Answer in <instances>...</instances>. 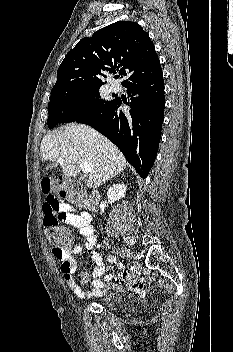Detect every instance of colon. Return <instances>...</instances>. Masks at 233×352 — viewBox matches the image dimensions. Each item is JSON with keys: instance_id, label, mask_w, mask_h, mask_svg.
Returning <instances> with one entry per match:
<instances>
[{"instance_id": "obj_1", "label": "colon", "mask_w": 233, "mask_h": 352, "mask_svg": "<svg viewBox=\"0 0 233 352\" xmlns=\"http://www.w3.org/2000/svg\"><path fill=\"white\" fill-rule=\"evenodd\" d=\"M64 196L67 194L64 192ZM72 200L79 202L83 208H89L90 203L86 197L80 194L68 195ZM45 225V236L48 241L58 249L68 250L71 247V234L64 228L59 226L57 223H46ZM88 280L87 273L81 274V282L85 283ZM117 281L123 284L127 291L139 295H144L148 289L145 282L139 280L128 269H122L117 277Z\"/></svg>"}]
</instances>
